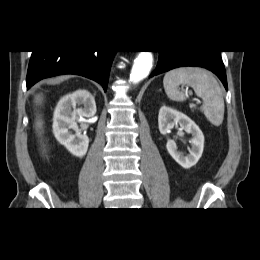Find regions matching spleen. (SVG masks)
I'll use <instances>...</instances> for the list:
<instances>
[{
    "instance_id": "1",
    "label": "spleen",
    "mask_w": 260,
    "mask_h": 260,
    "mask_svg": "<svg viewBox=\"0 0 260 260\" xmlns=\"http://www.w3.org/2000/svg\"><path fill=\"white\" fill-rule=\"evenodd\" d=\"M180 85L192 87L203 100L201 111L214 126H220L224 119V99L222 89L212 73L201 68L184 67L167 72L163 79L164 90L169 99L177 102L186 100L179 91Z\"/></svg>"
}]
</instances>
